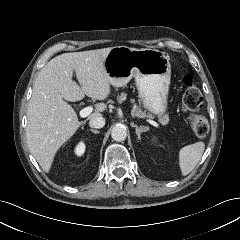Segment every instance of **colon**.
Wrapping results in <instances>:
<instances>
[{"mask_svg":"<svg viewBox=\"0 0 240 240\" xmlns=\"http://www.w3.org/2000/svg\"><path fill=\"white\" fill-rule=\"evenodd\" d=\"M183 84L181 102L183 109L190 112L189 125L195 135L204 137L209 131V124L207 119L198 113L203 106L201 91L195 85L193 76L189 74L183 77Z\"/></svg>","mask_w":240,"mask_h":240,"instance_id":"1","label":"colon"}]
</instances>
